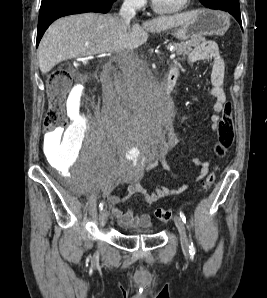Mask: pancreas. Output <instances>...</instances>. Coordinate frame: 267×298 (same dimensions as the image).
<instances>
[{
  "mask_svg": "<svg viewBox=\"0 0 267 298\" xmlns=\"http://www.w3.org/2000/svg\"><path fill=\"white\" fill-rule=\"evenodd\" d=\"M199 42L198 39L196 38H192L186 42H180V43H170L169 46H173L174 48V51L176 52L177 55H188L191 50H192V47L197 45Z\"/></svg>",
  "mask_w": 267,
  "mask_h": 298,
  "instance_id": "1",
  "label": "pancreas"
}]
</instances>
